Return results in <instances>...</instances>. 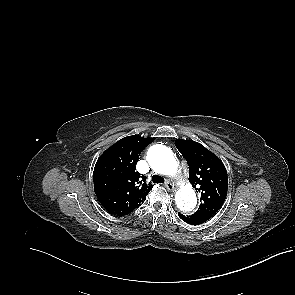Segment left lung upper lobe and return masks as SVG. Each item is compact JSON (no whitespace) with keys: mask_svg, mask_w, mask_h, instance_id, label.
<instances>
[{"mask_svg":"<svg viewBox=\"0 0 295 295\" xmlns=\"http://www.w3.org/2000/svg\"><path fill=\"white\" fill-rule=\"evenodd\" d=\"M176 147L189 166V181L201 193L196 213L214 216L227 196L228 176L222 161L202 144L176 140Z\"/></svg>","mask_w":295,"mask_h":295,"instance_id":"left-lung-upper-lobe-1","label":"left lung upper lobe"}]
</instances>
